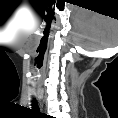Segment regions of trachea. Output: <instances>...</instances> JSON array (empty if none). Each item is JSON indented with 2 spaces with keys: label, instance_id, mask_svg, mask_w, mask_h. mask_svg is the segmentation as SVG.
<instances>
[{
  "label": "trachea",
  "instance_id": "obj_1",
  "mask_svg": "<svg viewBox=\"0 0 118 118\" xmlns=\"http://www.w3.org/2000/svg\"><path fill=\"white\" fill-rule=\"evenodd\" d=\"M33 106H35V107H36V102H35V101L33 102Z\"/></svg>",
  "mask_w": 118,
  "mask_h": 118
}]
</instances>
